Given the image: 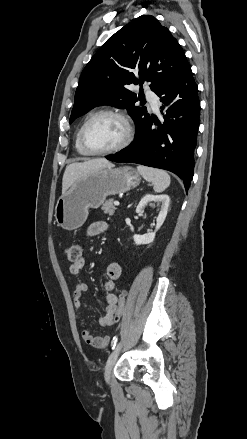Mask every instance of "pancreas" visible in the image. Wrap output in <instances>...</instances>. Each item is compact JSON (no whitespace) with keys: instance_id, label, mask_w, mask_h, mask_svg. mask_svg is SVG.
<instances>
[{"instance_id":"1","label":"pancreas","mask_w":247,"mask_h":439,"mask_svg":"<svg viewBox=\"0 0 247 439\" xmlns=\"http://www.w3.org/2000/svg\"><path fill=\"white\" fill-rule=\"evenodd\" d=\"M101 209L104 211L105 214H108L110 216L114 215L116 208L113 205V199L106 200L102 204Z\"/></svg>"}]
</instances>
